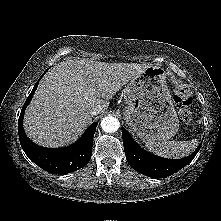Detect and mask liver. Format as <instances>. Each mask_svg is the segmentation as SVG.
Returning <instances> with one entry per match:
<instances>
[{"instance_id": "liver-1", "label": "liver", "mask_w": 221, "mask_h": 221, "mask_svg": "<svg viewBox=\"0 0 221 221\" xmlns=\"http://www.w3.org/2000/svg\"><path fill=\"white\" fill-rule=\"evenodd\" d=\"M147 67L85 58L57 64L40 81L25 111L27 136L53 148L76 141L92 122L90 111L95 107L106 110L116 92Z\"/></svg>"}]
</instances>
